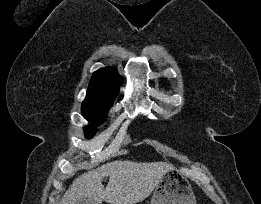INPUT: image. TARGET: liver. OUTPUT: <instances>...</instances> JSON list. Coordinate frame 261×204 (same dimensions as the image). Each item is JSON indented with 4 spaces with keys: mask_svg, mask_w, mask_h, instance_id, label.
Segmentation results:
<instances>
[{
    "mask_svg": "<svg viewBox=\"0 0 261 204\" xmlns=\"http://www.w3.org/2000/svg\"><path fill=\"white\" fill-rule=\"evenodd\" d=\"M172 169L165 162L112 161L77 177L60 204H77L82 198L93 199L96 204H135L146 199ZM106 176L109 182L104 188L102 181Z\"/></svg>",
    "mask_w": 261,
    "mask_h": 204,
    "instance_id": "obj_1",
    "label": "liver"
}]
</instances>
